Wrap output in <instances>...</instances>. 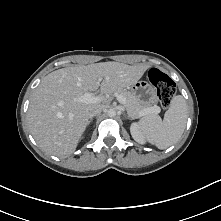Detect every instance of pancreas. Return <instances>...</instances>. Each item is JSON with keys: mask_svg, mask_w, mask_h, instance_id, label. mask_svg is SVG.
I'll return each mask as SVG.
<instances>
[{"mask_svg": "<svg viewBox=\"0 0 221 221\" xmlns=\"http://www.w3.org/2000/svg\"><path fill=\"white\" fill-rule=\"evenodd\" d=\"M115 94L121 95L126 99L125 108L127 113L133 119L138 118L141 116V112L146 108H150V106H144L140 103L135 95H133L130 91H127L122 88L115 89L113 92ZM157 107V106H153ZM155 114L158 112H154Z\"/></svg>", "mask_w": 221, "mask_h": 221, "instance_id": "pancreas-1", "label": "pancreas"}]
</instances>
